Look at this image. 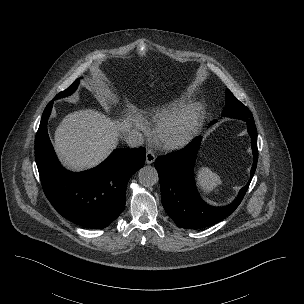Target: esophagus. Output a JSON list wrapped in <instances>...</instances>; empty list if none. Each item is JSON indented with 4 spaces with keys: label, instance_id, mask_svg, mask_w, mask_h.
Wrapping results in <instances>:
<instances>
[{
    "label": "esophagus",
    "instance_id": "34e87169",
    "mask_svg": "<svg viewBox=\"0 0 304 304\" xmlns=\"http://www.w3.org/2000/svg\"><path fill=\"white\" fill-rule=\"evenodd\" d=\"M155 158H156V156L152 150H148L146 152V163L147 164H152L155 161Z\"/></svg>",
    "mask_w": 304,
    "mask_h": 304
}]
</instances>
